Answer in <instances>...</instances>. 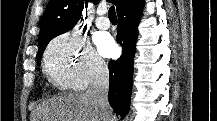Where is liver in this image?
<instances>
[{
  "instance_id": "6515ba94",
  "label": "liver",
  "mask_w": 217,
  "mask_h": 121,
  "mask_svg": "<svg viewBox=\"0 0 217 121\" xmlns=\"http://www.w3.org/2000/svg\"><path fill=\"white\" fill-rule=\"evenodd\" d=\"M33 121H102L98 106L86 94H68L39 105Z\"/></svg>"
}]
</instances>
